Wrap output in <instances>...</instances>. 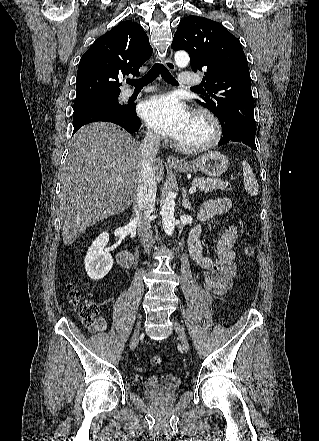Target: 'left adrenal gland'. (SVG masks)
<instances>
[{
	"mask_svg": "<svg viewBox=\"0 0 319 441\" xmlns=\"http://www.w3.org/2000/svg\"><path fill=\"white\" fill-rule=\"evenodd\" d=\"M182 206H183L185 209L194 212V209H193L192 206H191V203H190V201H189V198H188V196H187V192H186V189H185V188H183V193H182Z\"/></svg>",
	"mask_w": 319,
	"mask_h": 441,
	"instance_id": "obj_1",
	"label": "left adrenal gland"
}]
</instances>
